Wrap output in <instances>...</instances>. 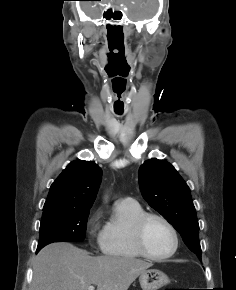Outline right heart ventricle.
I'll list each match as a JSON object with an SVG mask.
<instances>
[{
	"label": "right heart ventricle",
	"instance_id": "e07e8e85",
	"mask_svg": "<svg viewBox=\"0 0 236 290\" xmlns=\"http://www.w3.org/2000/svg\"><path fill=\"white\" fill-rule=\"evenodd\" d=\"M142 213V206L134 200L116 203L114 217L100 233L99 244L103 254L123 259L141 257L134 244L132 225Z\"/></svg>",
	"mask_w": 236,
	"mask_h": 290
}]
</instances>
